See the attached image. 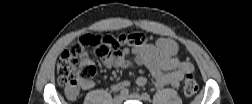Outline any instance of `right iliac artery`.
<instances>
[{
	"label": "right iliac artery",
	"mask_w": 252,
	"mask_h": 104,
	"mask_svg": "<svg viewBox=\"0 0 252 104\" xmlns=\"http://www.w3.org/2000/svg\"><path fill=\"white\" fill-rule=\"evenodd\" d=\"M128 93H129V91H128L127 89H123V90L121 91V96H122V97H125V96L128 95Z\"/></svg>",
	"instance_id": "right-iliac-artery-1"
}]
</instances>
